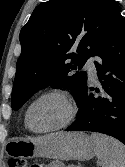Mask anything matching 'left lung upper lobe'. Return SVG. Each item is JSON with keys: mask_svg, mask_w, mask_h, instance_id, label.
<instances>
[{"mask_svg": "<svg viewBox=\"0 0 125 167\" xmlns=\"http://www.w3.org/2000/svg\"><path fill=\"white\" fill-rule=\"evenodd\" d=\"M120 11L115 0H50L37 6L20 32L12 109L49 85L70 89L78 102L87 86V74L79 70L96 54Z\"/></svg>", "mask_w": 125, "mask_h": 167, "instance_id": "1", "label": "left lung upper lobe"}]
</instances>
